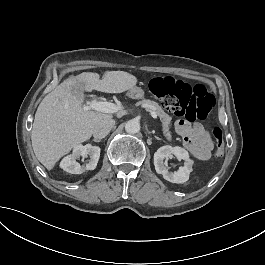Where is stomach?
<instances>
[{
	"mask_svg": "<svg viewBox=\"0 0 265 265\" xmlns=\"http://www.w3.org/2000/svg\"><path fill=\"white\" fill-rule=\"evenodd\" d=\"M128 96L132 99H143L145 97V92L143 89L135 87L129 91Z\"/></svg>",
	"mask_w": 265,
	"mask_h": 265,
	"instance_id": "obj_1",
	"label": "stomach"
}]
</instances>
